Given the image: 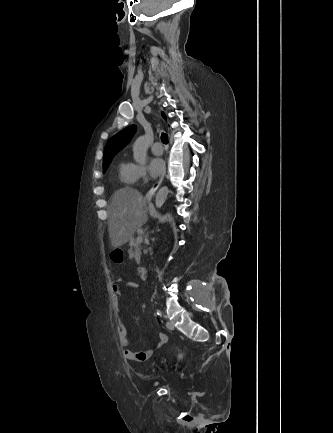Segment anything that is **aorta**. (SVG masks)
Masks as SVG:
<instances>
[{"label":"aorta","instance_id":"aorta-1","mask_svg":"<svg viewBox=\"0 0 333 433\" xmlns=\"http://www.w3.org/2000/svg\"><path fill=\"white\" fill-rule=\"evenodd\" d=\"M133 157L139 164H145L147 159V146L144 136L138 137L133 144ZM169 193L168 187L164 186L159 189L155 199L156 208H161L165 203Z\"/></svg>","mask_w":333,"mask_h":433}]
</instances>
